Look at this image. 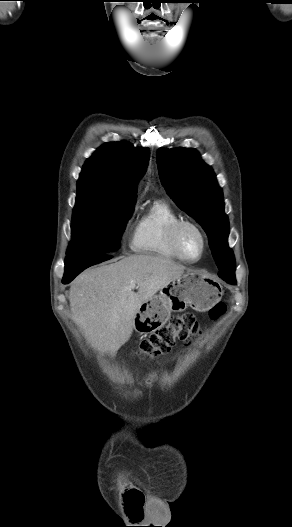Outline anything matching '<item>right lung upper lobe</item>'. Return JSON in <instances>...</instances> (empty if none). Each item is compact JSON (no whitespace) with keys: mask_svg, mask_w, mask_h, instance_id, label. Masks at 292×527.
Here are the masks:
<instances>
[{"mask_svg":"<svg viewBox=\"0 0 292 527\" xmlns=\"http://www.w3.org/2000/svg\"><path fill=\"white\" fill-rule=\"evenodd\" d=\"M148 161L146 148H135L124 141L106 143L84 164L77 192H94L110 201H135L137 184Z\"/></svg>","mask_w":292,"mask_h":527,"instance_id":"1","label":"right lung upper lobe"}]
</instances>
